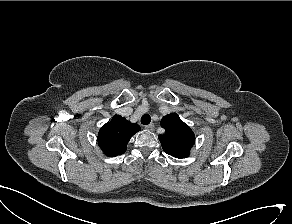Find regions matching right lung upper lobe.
<instances>
[{
  "mask_svg": "<svg viewBox=\"0 0 292 224\" xmlns=\"http://www.w3.org/2000/svg\"><path fill=\"white\" fill-rule=\"evenodd\" d=\"M140 129L138 124L131 123L120 115H114L111 121L99 130L98 145L106 156L123 154L130 138Z\"/></svg>",
  "mask_w": 292,
  "mask_h": 224,
  "instance_id": "right-lung-upper-lobe-1",
  "label": "right lung upper lobe"
}]
</instances>
